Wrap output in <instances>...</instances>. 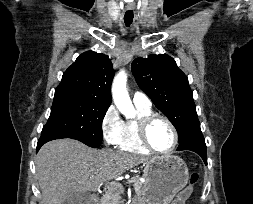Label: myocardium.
<instances>
[{"label":"myocardium","mask_w":253,"mask_h":204,"mask_svg":"<svg viewBox=\"0 0 253 204\" xmlns=\"http://www.w3.org/2000/svg\"><path fill=\"white\" fill-rule=\"evenodd\" d=\"M158 119L166 122L167 125L170 127L172 134H173V144L166 151H160V150H157L156 148H154L149 140V137H148V129H149L150 125L155 120H158ZM138 130H139V138H140L142 145L152 153L166 156V155L172 154L175 151V149L177 148V145L179 142L178 131H177L175 125L173 124V122L168 117H166L164 115L157 114V113H151L147 116L140 118V120L138 122Z\"/></svg>","instance_id":"obj_1"}]
</instances>
